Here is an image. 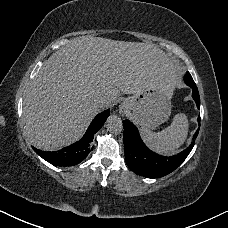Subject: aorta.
I'll list each match as a JSON object with an SVG mask.
<instances>
[{"instance_id":"obj_1","label":"aorta","mask_w":228,"mask_h":228,"mask_svg":"<svg viewBox=\"0 0 228 228\" xmlns=\"http://www.w3.org/2000/svg\"><path fill=\"white\" fill-rule=\"evenodd\" d=\"M106 128L110 133L118 134L123 130L121 118L116 115H111L106 120Z\"/></svg>"}]
</instances>
